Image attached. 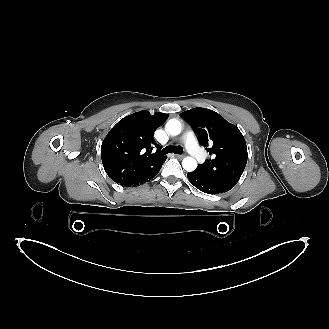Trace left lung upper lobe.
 <instances>
[{"label": "left lung upper lobe", "mask_w": 329, "mask_h": 329, "mask_svg": "<svg viewBox=\"0 0 329 329\" xmlns=\"http://www.w3.org/2000/svg\"><path fill=\"white\" fill-rule=\"evenodd\" d=\"M198 135L199 143L212 155L196 168L208 180L231 190L247 164V147L239 129L221 115L206 108L181 113Z\"/></svg>", "instance_id": "left-lung-upper-lobe-1"}]
</instances>
